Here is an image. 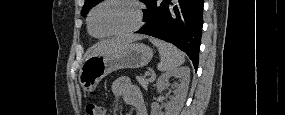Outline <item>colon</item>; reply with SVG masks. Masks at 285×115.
<instances>
[{"instance_id":"1","label":"colon","mask_w":285,"mask_h":115,"mask_svg":"<svg viewBox=\"0 0 285 115\" xmlns=\"http://www.w3.org/2000/svg\"><path fill=\"white\" fill-rule=\"evenodd\" d=\"M86 113L88 115H104V108L96 103H89L86 106Z\"/></svg>"}]
</instances>
